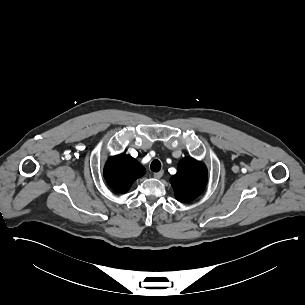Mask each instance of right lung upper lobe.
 Instances as JSON below:
<instances>
[{
	"label": "right lung upper lobe",
	"mask_w": 305,
	"mask_h": 305,
	"mask_svg": "<svg viewBox=\"0 0 305 305\" xmlns=\"http://www.w3.org/2000/svg\"><path fill=\"white\" fill-rule=\"evenodd\" d=\"M144 174L145 168L126 154L109 158L104 168L106 182L119 193L127 192L133 182Z\"/></svg>",
	"instance_id": "1"
}]
</instances>
